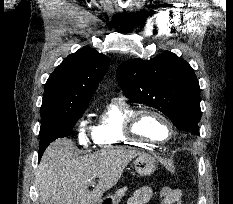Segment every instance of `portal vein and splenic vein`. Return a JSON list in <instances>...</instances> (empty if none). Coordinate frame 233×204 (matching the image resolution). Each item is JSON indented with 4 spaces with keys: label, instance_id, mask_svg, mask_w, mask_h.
I'll list each match as a JSON object with an SVG mask.
<instances>
[{
    "label": "portal vein and splenic vein",
    "instance_id": "1",
    "mask_svg": "<svg viewBox=\"0 0 233 204\" xmlns=\"http://www.w3.org/2000/svg\"><path fill=\"white\" fill-rule=\"evenodd\" d=\"M89 185H90V186H94V185H95V182H94V181H90V182H89Z\"/></svg>",
    "mask_w": 233,
    "mask_h": 204
}]
</instances>
